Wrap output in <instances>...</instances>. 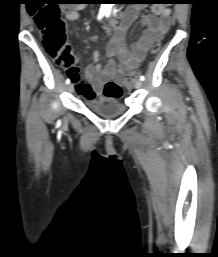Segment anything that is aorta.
Here are the masks:
<instances>
[{
	"label": "aorta",
	"instance_id": "aorta-1",
	"mask_svg": "<svg viewBox=\"0 0 218 257\" xmlns=\"http://www.w3.org/2000/svg\"><path fill=\"white\" fill-rule=\"evenodd\" d=\"M112 6H113V4H101L100 11L103 13H110Z\"/></svg>",
	"mask_w": 218,
	"mask_h": 257
}]
</instances>
